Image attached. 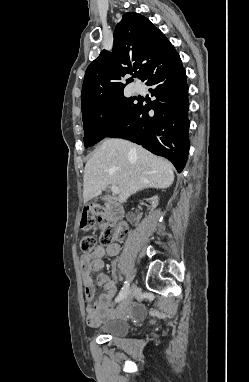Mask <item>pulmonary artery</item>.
Listing matches in <instances>:
<instances>
[{"instance_id":"obj_1","label":"pulmonary artery","mask_w":249,"mask_h":382,"mask_svg":"<svg viewBox=\"0 0 249 382\" xmlns=\"http://www.w3.org/2000/svg\"><path fill=\"white\" fill-rule=\"evenodd\" d=\"M134 87H135V89L138 90L140 88V85L139 84H135Z\"/></svg>"}]
</instances>
